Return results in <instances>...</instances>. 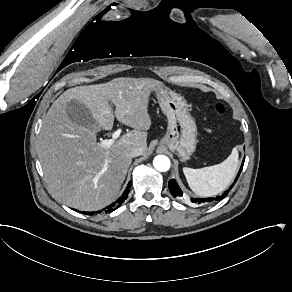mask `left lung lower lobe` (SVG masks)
Listing matches in <instances>:
<instances>
[{
    "label": "left lung lower lobe",
    "mask_w": 292,
    "mask_h": 292,
    "mask_svg": "<svg viewBox=\"0 0 292 292\" xmlns=\"http://www.w3.org/2000/svg\"><path fill=\"white\" fill-rule=\"evenodd\" d=\"M243 164H244V160H243V163L241 165V168L239 170V173L234 181V183L232 184V186L230 187V189L234 186L235 182L237 181L238 177H239V174L241 173L242 171V168H243ZM169 190L172 194L173 197L175 198H181L183 197V192L182 190L180 189V187L178 186L177 182L175 181V179H170L169 180ZM229 190H226L222 195L220 196H217L216 198H199V199H191V202L193 203H198V204H204V203H210V202H213L214 200H221L223 199L224 197L227 196Z\"/></svg>",
    "instance_id": "left-lung-lower-lobe-1"
}]
</instances>
